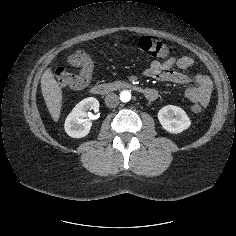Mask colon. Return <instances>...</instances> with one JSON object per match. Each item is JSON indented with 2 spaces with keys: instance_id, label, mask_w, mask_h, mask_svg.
Masks as SVG:
<instances>
[{
  "instance_id": "1",
  "label": "colon",
  "mask_w": 236,
  "mask_h": 236,
  "mask_svg": "<svg viewBox=\"0 0 236 236\" xmlns=\"http://www.w3.org/2000/svg\"><path fill=\"white\" fill-rule=\"evenodd\" d=\"M140 50L152 57L157 58H171L174 54V49L165 43L152 39L150 37H143L139 40ZM70 64L78 68V73H70L64 69H58L54 73L56 82L64 87L72 89H79L86 86L93 74L94 63L87 53H75L67 57ZM202 106L195 104L192 106V112L200 113Z\"/></svg>"
}]
</instances>
